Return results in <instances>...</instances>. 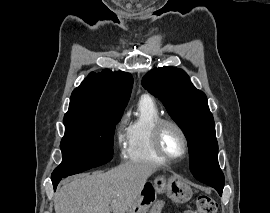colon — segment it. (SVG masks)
I'll return each instance as SVG.
<instances>
[{"mask_svg":"<svg viewBox=\"0 0 270 213\" xmlns=\"http://www.w3.org/2000/svg\"><path fill=\"white\" fill-rule=\"evenodd\" d=\"M217 204L215 200L207 195H201L196 201L195 209L189 210L186 213H216Z\"/></svg>","mask_w":270,"mask_h":213,"instance_id":"1","label":"colon"}]
</instances>
